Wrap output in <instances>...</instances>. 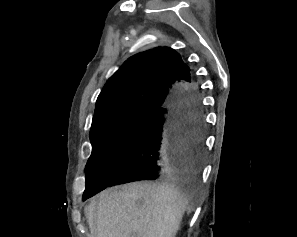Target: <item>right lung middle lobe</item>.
Returning a JSON list of instances; mask_svg holds the SVG:
<instances>
[{"label": "right lung middle lobe", "mask_w": 297, "mask_h": 237, "mask_svg": "<svg viewBox=\"0 0 297 237\" xmlns=\"http://www.w3.org/2000/svg\"><path fill=\"white\" fill-rule=\"evenodd\" d=\"M150 113H133L108 119L90 130L92 153L86 164L83 200L104 189L116 166L145 127Z\"/></svg>", "instance_id": "right-lung-middle-lobe-1"}]
</instances>
